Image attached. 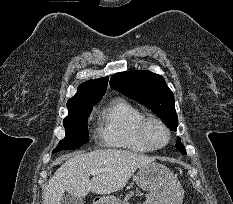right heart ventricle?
Masks as SVG:
<instances>
[{"mask_svg": "<svg viewBox=\"0 0 233 204\" xmlns=\"http://www.w3.org/2000/svg\"><path fill=\"white\" fill-rule=\"evenodd\" d=\"M144 113L123 98L112 100L98 113V136L106 147L122 148L134 152L151 149L139 137L137 124Z\"/></svg>", "mask_w": 233, "mask_h": 204, "instance_id": "right-heart-ventricle-1", "label": "right heart ventricle"}]
</instances>
